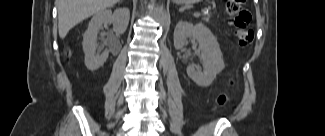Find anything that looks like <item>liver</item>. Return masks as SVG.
<instances>
[{"instance_id": "1", "label": "liver", "mask_w": 325, "mask_h": 136, "mask_svg": "<svg viewBox=\"0 0 325 136\" xmlns=\"http://www.w3.org/2000/svg\"><path fill=\"white\" fill-rule=\"evenodd\" d=\"M119 0H56L58 9V31L65 38L75 25L84 19L116 4Z\"/></svg>"}]
</instances>
